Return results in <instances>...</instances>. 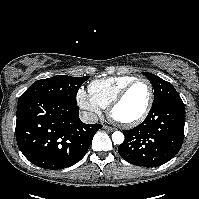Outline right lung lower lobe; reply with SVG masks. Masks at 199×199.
<instances>
[{
  "label": "right lung lower lobe",
  "mask_w": 199,
  "mask_h": 199,
  "mask_svg": "<svg viewBox=\"0 0 199 199\" xmlns=\"http://www.w3.org/2000/svg\"><path fill=\"white\" fill-rule=\"evenodd\" d=\"M101 127L81 122L77 104L44 96L18 101V147L30 162L42 168L64 169L77 163Z\"/></svg>",
  "instance_id": "obj_1"
}]
</instances>
